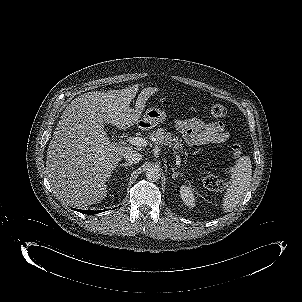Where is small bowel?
Returning <instances> with one entry per match:
<instances>
[{
    "instance_id": "1",
    "label": "small bowel",
    "mask_w": 302,
    "mask_h": 302,
    "mask_svg": "<svg viewBox=\"0 0 302 302\" xmlns=\"http://www.w3.org/2000/svg\"><path fill=\"white\" fill-rule=\"evenodd\" d=\"M175 127L189 145L222 144L229 138L225 125L220 121L206 123L197 118L184 119L177 120Z\"/></svg>"
}]
</instances>
